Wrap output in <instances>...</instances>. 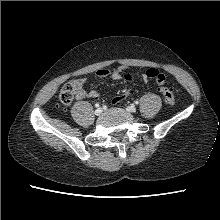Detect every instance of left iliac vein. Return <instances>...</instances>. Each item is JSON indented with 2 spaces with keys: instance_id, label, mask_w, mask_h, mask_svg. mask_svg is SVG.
<instances>
[{
  "instance_id": "4c4485c4",
  "label": "left iliac vein",
  "mask_w": 220,
  "mask_h": 220,
  "mask_svg": "<svg viewBox=\"0 0 220 220\" xmlns=\"http://www.w3.org/2000/svg\"><path fill=\"white\" fill-rule=\"evenodd\" d=\"M127 111L133 113L136 111V107L134 105H129L127 107Z\"/></svg>"
}]
</instances>
